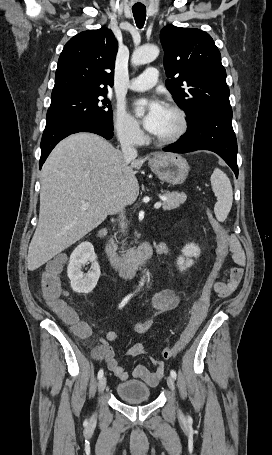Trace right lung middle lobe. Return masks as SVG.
<instances>
[{"label":"right lung middle lobe","instance_id":"obj_1","mask_svg":"<svg viewBox=\"0 0 272 455\" xmlns=\"http://www.w3.org/2000/svg\"><path fill=\"white\" fill-rule=\"evenodd\" d=\"M95 120L113 128V112L106 94L70 96L52 100L46 125L68 120Z\"/></svg>","mask_w":272,"mask_h":455}]
</instances>
